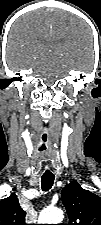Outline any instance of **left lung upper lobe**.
Listing matches in <instances>:
<instances>
[{
	"label": "left lung upper lobe",
	"mask_w": 101,
	"mask_h": 225,
	"mask_svg": "<svg viewBox=\"0 0 101 225\" xmlns=\"http://www.w3.org/2000/svg\"><path fill=\"white\" fill-rule=\"evenodd\" d=\"M61 197L69 216V224L66 225H101L99 196L71 181L63 188Z\"/></svg>",
	"instance_id": "5c2ea615"
}]
</instances>
